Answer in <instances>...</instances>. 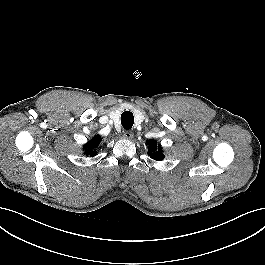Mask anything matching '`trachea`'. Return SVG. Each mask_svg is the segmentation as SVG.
<instances>
[{
	"instance_id": "1",
	"label": "trachea",
	"mask_w": 265,
	"mask_h": 265,
	"mask_svg": "<svg viewBox=\"0 0 265 265\" xmlns=\"http://www.w3.org/2000/svg\"><path fill=\"white\" fill-rule=\"evenodd\" d=\"M134 123L133 113L130 111H125L121 115V124L124 129L129 130L132 128Z\"/></svg>"
}]
</instances>
